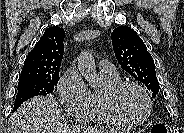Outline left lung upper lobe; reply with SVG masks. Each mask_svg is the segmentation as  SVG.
I'll return each mask as SVG.
<instances>
[{"label":"left lung upper lobe","instance_id":"1","mask_svg":"<svg viewBox=\"0 0 184 133\" xmlns=\"http://www.w3.org/2000/svg\"><path fill=\"white\" fill-rule=\"evenodd\" d=\"M111 38L115 56L122 69L143 83L153 92L152 97H156L160 86L155 64L142 39L128 26L114 29Z\"/></svg>","mask_w":184,"mask_h":133}]
</instances>
